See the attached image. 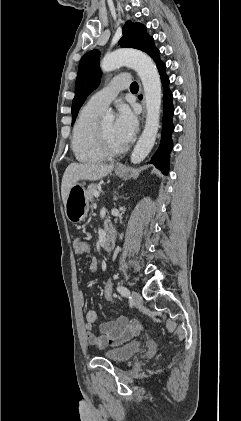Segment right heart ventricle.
Instances as JSON below:
<instances>
[{"mask_svg": "<svg viewBox=\"0 0 241 421\" xmlns=\"http://www.w3.org/2000/svg\"><path fill=\"white\" fill-rule=\"evenodd\" d=\"M101 112L87 105L82 108L73 128L71 147L82 163H98L106 159L97 142V120Z\"/></svg>", "mask_w": 241, "mask_h": 421, "instance_id": "obj_1", "label": "right heart ventricle"}]
</instances>
